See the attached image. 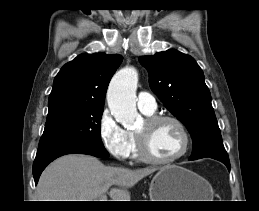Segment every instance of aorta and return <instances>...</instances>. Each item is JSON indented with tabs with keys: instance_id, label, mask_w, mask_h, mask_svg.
Instances as JSON below:
<instances>
[{
	"instance_id": "762f6f07",
	"label": "aorta",
	"mask_w": 259,
	"mask_h": 211,
	"mask_svg": "<svg viewBox=\"0 0 259 211\" xmlns=\"http://www.w3.org/2000/svg\"><path fill=\"white\" fill-rule=\"evenodd\" d=\"M137 83V70L124 68L113 76L107 92L108 107L112 115L127 129L135 126L139 119L135 96Z\"/></svg>"
}]
</instances>
